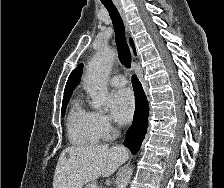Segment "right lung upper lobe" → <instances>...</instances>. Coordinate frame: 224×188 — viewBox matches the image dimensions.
<instances>
[{"label":"right lung upper lobe","mask_w":224,"mask_h":188,"mask_svg":"<svg viewBox=\"0 0 224 188\" xmlns=\"http://www.w3.org/2000/svg\"><path fill=\"white\" fill-rule=\"evenodd\" d=\"M130 43L132 47L134 48V43L132 39H130ZM82 70H83V64H79L77 68L74 69L72 73L70 74L65 86L63 102L70 99V96L72 95V91L79 84L81 75H82Z\"/></svg>","instance_id":"obj_1"}]
</instances>
